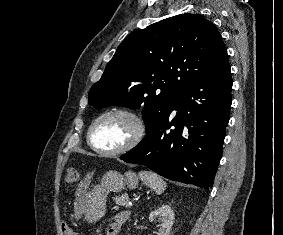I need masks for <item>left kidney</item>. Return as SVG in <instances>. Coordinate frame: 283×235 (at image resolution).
<instances>
[{
	"instance_id": "obj_1",
	"label": "left kidney",
	"mask_w": 283,
	"mask_h": 235,
	"mask_svg": "<svg viewBox=\"0 0 283 235\" xmlns=\"http://www.w3.org/2000/svg\"><path fill=\"white\" fill-rule=\"evenodd\" d=\"M161 222L157 235H169L174 222V212L169 205H162L149 214V221Z\"/></svg>"
}]
</instances>
